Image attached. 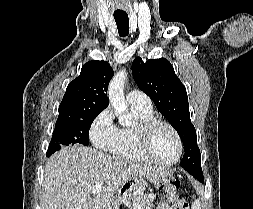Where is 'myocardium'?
<instances>
[{
    "instance_id": "myocardium-1",
    "label": "myocardium",
    "mask_w": 253,
    "mask_h": 209,
    "mask_svg": "<svg viewBox=\"0 0 253 209\" xmlns=\"http://www.w3.org/2000/svg\"><path fill=\"white\" fill-rule=\"evenodd\" d=\"M163 125L171 130L173 133L176 143H177V155L176 157L170 161H162L156 158L151 150H150V141H151V135L156 126ZM136 132H137V138H138V146L142 153V155L149 161L162 165V166H174L176 165L182 156L183 152V144L182 139L180 137V134L178 133L177 129L168 121L162 120L156 117L140 121L136 125Z\"/></svg>"
}]
</instances>
